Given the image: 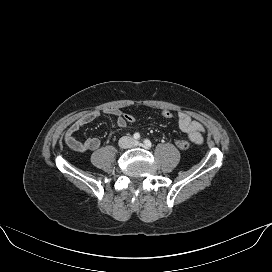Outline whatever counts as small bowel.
Instances as JSON below:
<instances>
[{
	"mask_svg": "<svg viewBox=\"0 0 272 272\" xmlns=\"http://www.w3.org/2000/svg\"><path fill=\"white\" fill-rule=\"evenodd\" d=\"M104 114L113 115L116 117V125L119 128H124L127 125V122L124 119L123 114L117 109H106L103 111ZM101 116V112L91 111L88 112L79 118H77L67 129L65 133V142L66 144L80 152L84 151H95L100 146V140L98 138H87V139H79L76 136V133L85 125L91 123ZM177 122L180 130L187 135V138L190 142L200 145L204 141L203 133L204 127L203 125L193 119L189 114L183 111H179L177 113Z\"/></svg>",
	"mask_w": 272,
	"mask_h": 272,
	"instance_id": "c3829d8e",
	"label": "small bowel"
}]
</instances>
